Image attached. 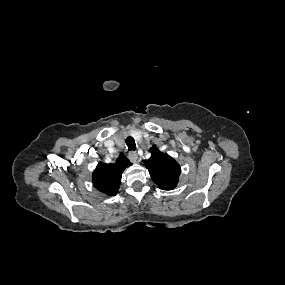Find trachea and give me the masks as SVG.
I'll use <instances>...</instances> for the list:
<instances>
[{"mask_svg":"<svg viewBox=\"0 0 285 285\" xmlns=\"http://www.w3.org/2000/svg\"><path fill=\"white\" fill-rule=\"evenodd\" d=\"M125 142L127 144L129 151H135L136 150L135 140L132 137H127Z\"/></svg>","mask_w":285,"mask_h":285,"instance_id":"3493384b","label":"trachea"}]
</instances>
